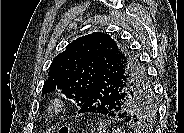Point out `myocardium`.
Returning <instances> with one entry per match:
<instances>
[{
  "label": "myocardium",
  "mask_w": 184,
  "mask_h": 133,
  "mask_svg": "<svg viewBox=\"0 0 184 133\" xmlns=\"http://www.w3.org/2000/svg\"><path fill=\"white\" fill-rule=\"evenodd\" d=\"M65 109H66V101L62 97L54 98L48 107V110L52 115H59L62 112H64Z\"/></svg>",
  "instance_id": "obj_1"
}]
</instances>
